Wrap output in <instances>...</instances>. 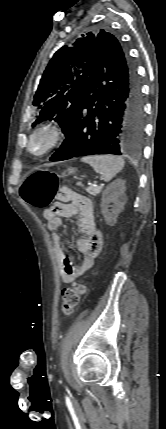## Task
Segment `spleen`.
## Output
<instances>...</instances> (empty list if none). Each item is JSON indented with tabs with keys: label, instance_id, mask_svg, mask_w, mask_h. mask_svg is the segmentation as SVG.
<instances>
[{
	"label": "spleen",
	"instance_id": "spleen-1",
	"mask_svg": "<svg viewBox=\"0 0 166 429\" xmlns=\"http://www.w3.org/2000/svg\"><path fill=\"white\" fill-rule=\"evenodd\" d=\"M81 161L92 166L96 173L104 177L106 182L116 176L125 165L123 158L114 155L86 156Z\"/></svg>",
	"mask_w": 166,
	"mask_h": 429
}]
</instances>
